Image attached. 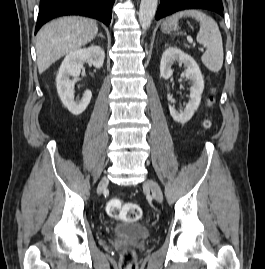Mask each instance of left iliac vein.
Here are the masks:
<instances>
[{"instance_id": "1", "label": "left iliac vein", "mask_w": 265, "mask_h": 269, "mask_svg": "<svg viewBox=\"0 0 265 269\" xmlns=\"http://www.w3.org/2000/svg\"><path fill=\"white\" fill-rule=\"evenodd\" d=\"M144 186L151 190L152 195L157 202L161 203L163 201L162 191L159 185L154 180L151 179L146 180Z\"/></svg>"}]
</instances>
